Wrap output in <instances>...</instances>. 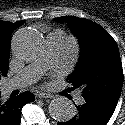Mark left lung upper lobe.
Masks as SVG:
<instances>
[{"label": "left lung upper lobe", "mask_w": 125, "mask_h": 125, "mask_svg": "<svg viewBox=\"0 0 125 125\" xmlns=\"http://www.w3.org/2000/svg\"><path fill=\"white\" fill-rule=\"evenodd\" d=\"M78 36L80 59L68 77L71 90L80 88L87 102H118L123 86V70L115 40L100 25L88 19L62 16Z\"/></svg>", "instance_id": "5c2ea615"}]
</instances>
